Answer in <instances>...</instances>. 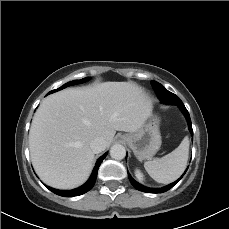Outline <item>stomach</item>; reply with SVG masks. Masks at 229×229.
<instances>
[{"label":"stomach","mask_w":229,"mask_h":229,"mask_svg":"<svg viewBox=\"0 0 229 229\" xmlns=\"http://www.w3.org/2000/svg\"><path fill=\"white\" fill-rule=\"evenodd\" d=\"M139 161L151 159L161 146L159 119L152 117L139 130L121 136Z\"/></svg>","instance_id":"stomach-1"}]
</instances>
